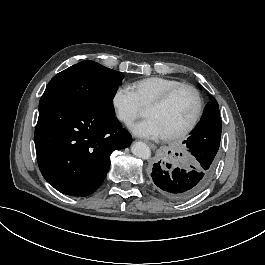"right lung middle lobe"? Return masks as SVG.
<instances>
[{"label": "right lung middle lobe", "instance_id": "obj_1", "mask_svg": "<svg viewBox=\"0 0 265 265\" xmlns=\"http://www.w3.org/2000/svg\"><path fill=\"white\" fill-rule=\"evenodd\" d=\"M123 74L93 61H83L54 76L41 100L60 101L85 110L114 116L112 99Z\"/></svg>", "mask_w": 265, "mask_h": 265}]
</instances>
